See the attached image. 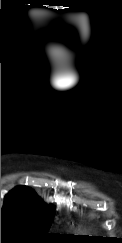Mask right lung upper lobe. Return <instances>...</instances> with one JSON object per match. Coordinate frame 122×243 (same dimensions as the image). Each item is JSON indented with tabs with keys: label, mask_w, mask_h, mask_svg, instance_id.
<instances>
[{
	"label": "right lung upper lobe",
	"mask_w": 122,
	"mask_h": 243,
	"mask_svg": "<svg viewBox=\"0 0 122 243\" xmlns=\"http://www.w3.org/2000/svg\"><path fill=\"white\" fill-rule=\"evenodd\" d=\"M5 201H19L36 208H51L44 204L41 198L26 186L15 187L5 196Z\"/></svg>",
	"instance_id": "cb5924a9"
}]
</instances>
